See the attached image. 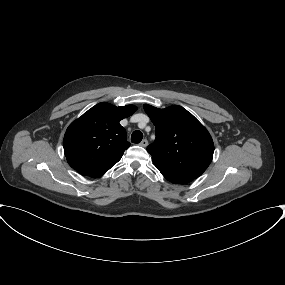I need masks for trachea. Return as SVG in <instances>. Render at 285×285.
<instances>
[{"mask_svg": "<svg viewBox=\"0 0 285 285\" xmlns=\"http://www.w3.org/2000/svg\"><path fill=\"white\" fill-rule=\"evenodd\" d=\"M143 138V134L141 131L136 130L131 135V142L132 143H140Z\"/></svg>", "mask_w": 285, "mask_h": 285, "instance_id": "obj_1", "label": "trachea"}]
</instances>
